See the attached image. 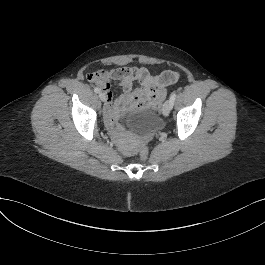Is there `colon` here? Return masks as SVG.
Segmentation results:
<instances>
[{"label":"colon","mask_w":265,"mask_h":265,"mask_svg":"<svg viewBox=\"0 0 265 265\" xmlns=\"http://www.w3.org/2000/svg\"><path fill=\"white\" fill-rule=\"evenodd\" d=\"M101 76V71H96L90 75V77L99 78ZM149 150L147 146H141L139 150V157L141 161H146L148 158Z\"/></svg>","instance_id":"1"}]
</instances>
